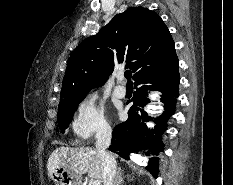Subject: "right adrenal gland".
<instances>
[{
	"mask_svg": "<svg viewBox=\"0 0 233 185\" xmlns=\"http://www.w3.org/2000/svg\"><path fill=\"white\" fill-rule=\"evenodd\" d=\"M121 175H122L121 168L119 167L117 170V174H116L113 185H120L122 183L123 179H122Z\"/></svg>",
	"mask_w": 233,
	"mask_h": 185,
	"instance_id": "1",
	"label": "right adrenal gland"
}]
</instances>
